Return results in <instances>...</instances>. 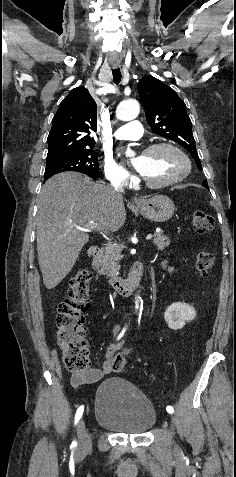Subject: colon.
Instances as JSON below:
<instances>
[{
  "label": "colon",
  "mask_w": 236,
  "mask_h": 477,
  "mask_svg": "<svg viewBox=\"0 0 236 477\" xmlns=\"http://www.w3.org/2000/svg\"><path fill=\"white\" fill-rule=\"evenodd\" d=\"M192 226L196 233L205 234L214 227L211 215L196 211L192 215ZM214 266V255L201 252L196 259V270L207 276ZM91 277L86 269H79L70 280L66 298L59 304L56 317L58 327L56 339L63 351V362L72 372H84L89 364V350L85 340L86 313L90 308ZM126 359L117 355L111 361L113 372L124 368Z\"/></svg>",
  "instance_id": "5ec220e1"
}]
</instances>
